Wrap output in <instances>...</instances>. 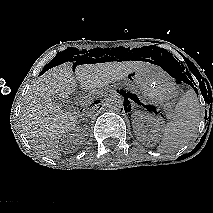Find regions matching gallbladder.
<instances>
[{
  "mask_svg": "<svg viewBox=\"0 0 213 213\" xmlns=\"http://www.w3.org/2000/svg\"><path fill=\"white\" fill-rule=\"evenodd\" d=\"M54 101L58 104H60L61 106H66L67 100H62L59 98H54Z\"/></svg>",
  "mask_w": 213,
  "mask_h": 213,
  "instance_id": "bac80fb5",
  "label": "gallbladder"
}]
</instances>
